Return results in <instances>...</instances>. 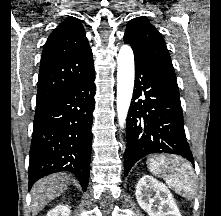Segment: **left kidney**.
Returning <instances> with one entry per match:
<instances>
[{
    "label": "left kidney",
    "mask_w": 221,
    "mask_h": 216,
    "mask_svg": "<svg viewBox=\"0 0 221 216\" xmlns=\"http://www.w3.org/2000/svg\"><path fill=\"white\" fill-rule=\"evenodd\" d=\"M135 194L149 216H181L170 190L152 176L144 175L138 181Z\"/></svg>",
    "instance_id": "5707ae66"
}]
</instances>
